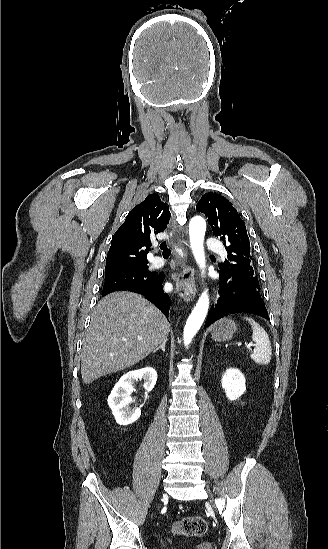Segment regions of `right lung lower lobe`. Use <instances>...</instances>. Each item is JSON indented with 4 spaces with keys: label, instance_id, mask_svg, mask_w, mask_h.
Wrapping results in <instances>:
<instances>
[{
    "label": "right lung lower lobe",
    "instance_id": "right-lung-lower-lobe-1",
    "mask_svg": "<svg viewBox=\"0 0 328 549\" xmlns=\"http://www.w3.org/2000/svg\"><path fill=\"white\" fill-rule=\"evenodd\" d=\"M163 280L164 273H160L157 274V277L148 285L130 286L122 290L132 291L144 295L148 298V300L153 302L168 318L170 309L169 295L163 290Z\"/></svg>",
    "mask_w": 328,
    "mask_h": 549
}]
</instances>
